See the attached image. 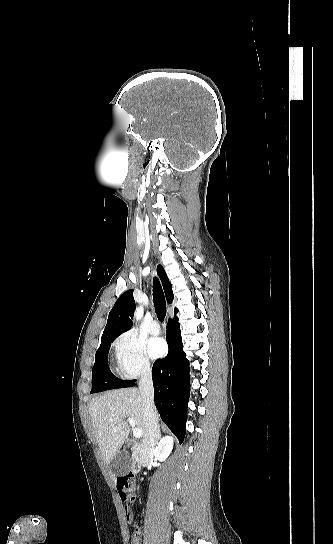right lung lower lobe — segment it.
Wrapping results in <instances>:
<instances>
[{"label": "right lung lower lobe", "mask_w": 333, "mask_h": 544, "mask_svg": "<svg viewBox=\"0 0 333 544\" xmlns=\"http://www.w3.org/2000/svg\"><path fill=\"white\" fill-rule=\"evenodd\" d=\"M178 318L169 319L167 324L168 355L154 362L152 379L154 399L164 423L180 442L185 437L187 405L190 396L189 361L183 352L182 337ZM135 386V382L128 387Z\"/></svg>", "instance_id": "right-lung-lower-lobe-1"}]
</instances>
